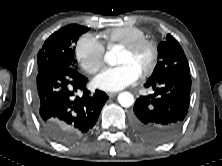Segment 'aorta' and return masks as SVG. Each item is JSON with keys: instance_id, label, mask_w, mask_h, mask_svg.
Segmentation results:
<instances>
[{"instance_id": "obj_1", "label": "aorta", "mask_w": 222, "mask_h": 166, "mask_svg": "<svg viewBox=\"0 0 222 166\" xmlns=\"http://www.w3.org/2000/svg\"><path fill=\"white\" fill-rule=\"evenodd\" d=\"M105 60L111 64L115 65L117 62V49L113 48L110 51L106 52L105 54ZM118 102L123 107H129L134 103V97L129 92H122L118 96Z\"/></svg>"}]
</instances>
